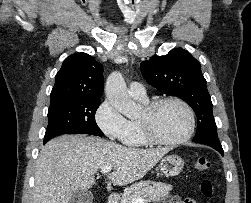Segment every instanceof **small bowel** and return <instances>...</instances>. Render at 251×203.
Segmentation results:
<instances>
[{
  "label": "small bowel",
  "mask_w": 251,
  "mask_h": 203,
  "mask_svg": "<svg viewBox=\"0 0 251 203\" xmlns=\"http://www.w3.org/2000/svg\"><path fill=\"white\" fill-rule=\"evenodd\" d=\"M159 203H196L193 199H181L178 196L168 195L164 197Z\"/></svg>",
  "instance_id": "1"
}]
</instances>
